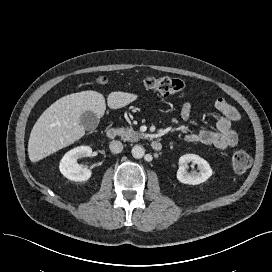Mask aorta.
Returning <instances> with one entry per match:
<instances>
[{
	"mask_svg": "<svg viewBox=\"0 0 272 272\" xmlns=\"http://www.w3.org/2000/svg\"><path fill=\"white\" fill-rule=\"evenodd\" d=\"M132 156L136 159H141L144 154H145V150L142 146L140 145H135L133 148H132Z\"/></svg>",
	"mask_w": 272,
	"mask_h": 272,
	"instance_id": "obj_1",
	"label": "aorta"
}]
</instances>
